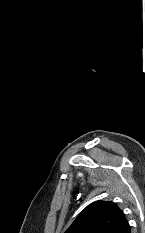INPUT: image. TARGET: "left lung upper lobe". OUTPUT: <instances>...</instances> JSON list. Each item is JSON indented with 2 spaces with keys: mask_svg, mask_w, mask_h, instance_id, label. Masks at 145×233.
I'll use <instances>...</instances> for the list:
<instances>
[{
  "mask_svg": "<svg viewBox=\"0 0 145 233\" xmlns=\"http://www.w3.org/2000/svg\"><path fill=\"white\" fill-rule=\"evenodd\" d=\"M131 227L116 203L96 201L88 205L65 233H130Z\"/></svg>",
  "mask_w": 145,
  "mask_h": 233,
  "instance_id": "5c2ea615",
  "label": "left lung upper lobe"
}]
</instances>
